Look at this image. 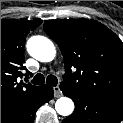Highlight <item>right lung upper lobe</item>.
<instances>
[{
    "label": "right lung upper lobe",
    "mask_w": 123,
    "mask_h": 123,
    "mask_svg": "<svg viewBox=\"0 0 123 123\" xmlns=\"http://www.w3.org/2000/svg\"><path fill=\"white\" fill-rule=\"evenodd\" d=\"M40 23L1 19V113L26 103L41 89L18 81L23 75L28 77L27 72H22L26 70L23 66L25 39Z\"/></svg>",
    "instance_id": "obj_1"
}]
</instances>
